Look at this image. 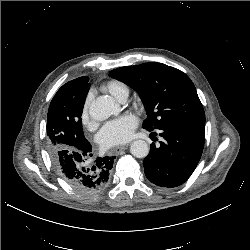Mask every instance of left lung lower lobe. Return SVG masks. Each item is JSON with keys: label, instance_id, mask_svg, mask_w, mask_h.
Wrapping results in <instances>:
<instances>
[{"label": "left lung lower lobe", "instance_id": "0a47b994", "mask_svg": "<svg viewBox=\"0 0 250 250\" xmlns=\"http://www.w3.org/2000/svg\"><path fill=\"white\" fill-rule=\"evenodd\" d=\"M159 132L163 140L158 148L151 145L143 161L145 175L157 186L177 187L187 181L201 158L205 125L174 126Z\"/></svg>", "mask_w": 250, "mask_h": 250}]
</instances>
